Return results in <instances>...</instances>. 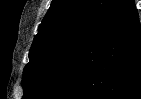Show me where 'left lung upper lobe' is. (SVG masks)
<instances>
[{
	"label": "left lung upper lobe",
	"mask_w": 141,
	"mask_h": 99,
	"mask_svg": "<svg viewBox=\"0 0 141 99\" xmlns=\"http://www.w3.org/2000/svg\"><path fill=\"white\" fill-rule=\"evenodd\" d=\"M122 0H53L29 52L22 99H38Z\"/></svg>",
	"instance_id": "left-lung-upper-lobe-1"
}]
</instances>
